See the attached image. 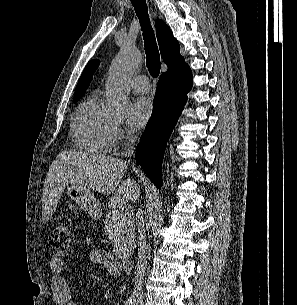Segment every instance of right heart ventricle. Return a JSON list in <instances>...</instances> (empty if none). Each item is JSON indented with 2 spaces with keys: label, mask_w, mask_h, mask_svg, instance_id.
<instances>
[{
  "label": "right heart ventricle",
  "mask_w": 297,
  "mask_h": 305,
  "mask_svg": "<svg viewBox=\"0 0 297 305\" xmlns=\"http://www.w3.org/2000/svg\"><path fill=\"white\" fill-rule=\"evenodd\" d=\"M113 119L100 106L96 95L76 109L71 125L74 146L93 154H106L114 141Z\"/></svg>",
  "instance_id": "e07e8e85"
}]
</instances>
